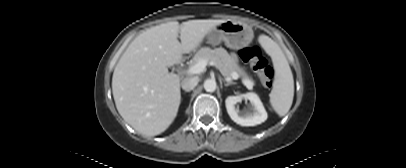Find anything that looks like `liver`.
<instances>
[{
	"label": "liver",
	"mask_w": 406,
	"mask_h": 168,
	"mask_svg": "<svg viewBox=\"0 0 406 168\" xmlns=\"http://www.w3.org/2000/svg\"><path fill=\"white\" fill-rule=\"evenodd\" d=\"M226 20L177 21L154 26L127 47L112 77V93L122 118L138 132L154 136L174 121L181 100L180 78L168 72L183 54ZM180 33L181 43L178 41Z\"/></svg>",
	"instance_id": "obj_1"
}]
</instances>
